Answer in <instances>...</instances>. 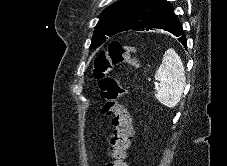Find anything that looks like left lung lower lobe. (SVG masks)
<instances>
[{
    "mask_svg": "<svg viewBox=\"0 0 227 166\" xmlns=\"http://www.w3.org/2000/svg\"><path fill=\"white\" fill-rule=\"evenodd\" d=\"M153 28L163 29L179 37L182 45L187 46L186 37L172 5L166 0H147L137 14L129 30L144 31Z\"/></svg>",
    "mask_w": 227,
    "mask_h": 166,
    "instance_id": "0a47b994",
    "label": "left lung lower lobe"
}]
</instances>
